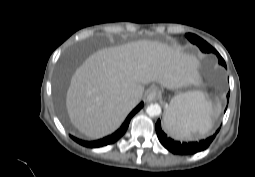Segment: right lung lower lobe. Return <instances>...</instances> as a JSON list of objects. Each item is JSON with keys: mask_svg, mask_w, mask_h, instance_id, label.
I'll return each mask as SVG.
<instances>
[{"mask_svg": "<svg viewBox=\"0 0 255 177\" xmlns=\"http://www.w3.org/2000/svg\"><path fill=\"white\" fill-rule=\"evenodd\" d=\"M144 103L141 102L126 118L125 122L122 124V126L113 134L108 135L102 139L95 140V141H83L80 139H77L73 136L71 138L79 143L82 146L88 147V148H98L106 145H110L118 141L126 132L131 118L143 107Z\"/></svg>", "mask_w": 255, "mask_h": 177, "instance_id": "obj_1", "label": "right lung lower lobe"}]
</instances>
